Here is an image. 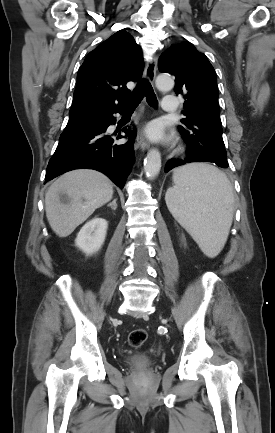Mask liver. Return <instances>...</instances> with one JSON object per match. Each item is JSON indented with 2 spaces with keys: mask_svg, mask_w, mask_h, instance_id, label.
I'll use <instances>...</instances> for the list:
<instances>
[{
  "mask_svg": "<svg viewBox=\"0 0 275 433\" xmlns=\"http://www.w3.org/2000/svg\"><path fill=\"white\" fill-rule=\"evenodd\" d=\"M113 185L104 174L90 169L67 172L54 181L45 195L46 217L59 237L69 236L113 196ZM69 201L64 203L60 194Z\"/></svg>",
  "mask_w": 275,
  "mask_h": 433,
  "instance_id": "6515ba94",
  "label": "liver"
}]
</instances>
